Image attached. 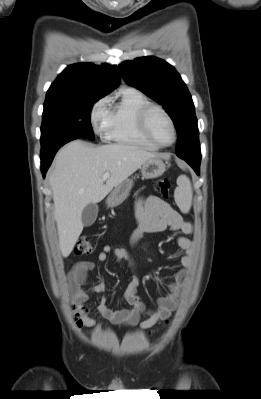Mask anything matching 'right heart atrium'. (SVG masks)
<instances>
[{
    "label": "right heart atrium",
    "mask_w": 261,
    "mask_h": 399,
    "mask_svg": "<svg viewBox=\"0 0 261 399\" xmlns=\"http://www.w3.org/2000/svg\"><path fill=\"white\" fill-rule=\"evenodd\" d=\"M108 98L104 97L98 100L92 107L90 113V122L95 134L103 136L106 134L108 126Z\"/></svg>",
    "instance_id": "right-heart-atrium-1"
}]
</instances>
